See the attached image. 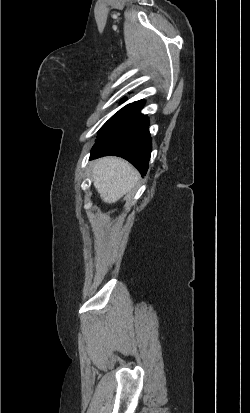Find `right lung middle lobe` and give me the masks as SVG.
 I'll return each mask as SVG.
<instances>
[{
  "label": "right lung middle lobe",
  "instance_id": "right-lung-middle-lobe-1",
  "mask_svg": "<svg viewBox=\"0 0 250 413\" xmlns=\"http://www.w3.org/2000/svg\"><path fill=\"white\" fill-rule=\"evenodd\" d=\"M130 104L123 107L115 115H113L99 130L98 139L106 135L110 130H112L122 119L126 111L128 110Z\"/></svg>",
  "mask_w": 250,
  "mask_h": 413
}]
</instances>
